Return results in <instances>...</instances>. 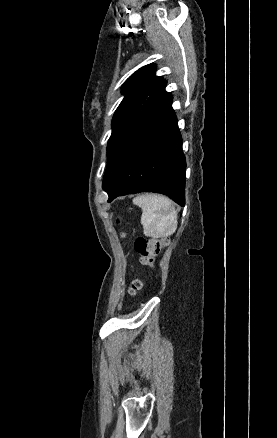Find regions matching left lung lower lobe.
<instances>
[{"label": "left lung lower lobe", "mask_w": 277, "mask_h": 438, "mask_svg": "<svg viewBox=\"0 0 277 438\" xmlns=\"http://www.w3.org/2000/svg\"><path fill=\"white\" fill-rule=\"evenodd\" d=\"M185 168L182 138L171 103L150 95L138 113L123 166L106 190L108 202L126 194L156 192L184 206Z\"/></svg>", "instance_id": "obj_1"}]
</instances>
